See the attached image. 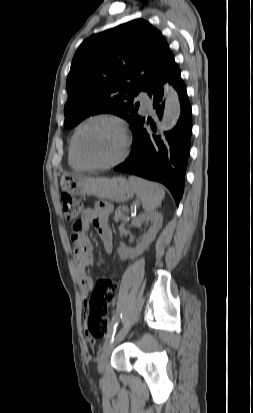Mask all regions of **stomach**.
Here are the masks:
<instances>
[{"mask_svg": "<svg viewBox=\"0 0 253 413\" xmlns=\"http://www.w3.org/2000/svg\"><path fill=\"white\" fill-rule=\"evenodd\" d=\"M62 190L72 196H95L115 202H124L133 196L134 190L126 178H91L64 175L61 178Z\"/></svg>", "mask_w": 253, "mask_h": 413, "instance_id": "1", "label": "stomach"}]
</instances>
